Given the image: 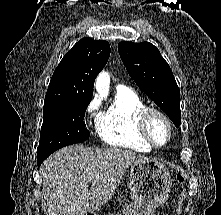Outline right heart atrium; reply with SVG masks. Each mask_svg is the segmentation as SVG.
Segmentation results:
<instances>
[{
    "mask_svg": "<svg viewBox=\"0 0 221 215\" xmlns=\"http://www.w3.org/2000/svg\"><path fill=\"white\" fill-rule=\"evenodd\" d=\"M100 108V101L98 98H94L86 107V114L88 116H94Z\"/></svg>",
    "mask_w": 221,
    "mask_h": 215,
    "instance_id": "obj_1",
    "label": "right heart atrium"
}]
</instances>
